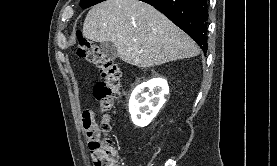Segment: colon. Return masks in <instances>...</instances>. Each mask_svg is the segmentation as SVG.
<instances>
[{
	"instance_id": "5ec220e1",
	"label": "colon",
	"mask_w": 277,
	"mask_h": 166,
	"mask_svg": "<svg viewBox=\"0 0 277 166\" xmlns=\"http://www.w3.org/2000/svg\"><path fill=\"white\" fill-rule=\"evenodd\" d=\"M77 54L95 64L101 75V80L95 84L93 90L94 97L99 101L103 113L101 124L94 123L87 113L86 122L83 125L92 152L94 166H118L117 150L108 135L112 128L110 111L119 96L120 69L81 32L77 35Z\"/></svg>"
}]
</instances>
